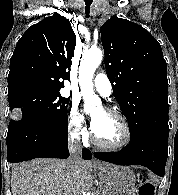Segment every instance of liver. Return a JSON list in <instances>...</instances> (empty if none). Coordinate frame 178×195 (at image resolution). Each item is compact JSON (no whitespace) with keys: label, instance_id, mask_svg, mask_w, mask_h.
Wrapping results in <instances>:
<instances>
[{"label":"liver","instance_id":"1","mask_svg":"<svg viewBox=\"0 0 178 195\" xmlns=\"http://www.w3.org/2000/svg\"><path fill=\"white\" fill-rule=\"evenodd\" d=\"M92 167L91 162L81 160L73 172L68 160L48 158L13 164L12 195H83L93 185Z\"/></svg>","mask_w":178,"mask_h":195}]
</instances>
